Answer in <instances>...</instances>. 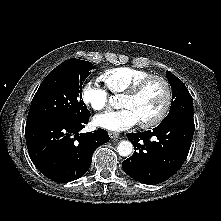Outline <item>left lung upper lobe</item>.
I'll use <instances>...</instances> for the list:
<instances>
[{"instance_id":"left-lung-upper-lobe-1","label":"left lung upper lobe","mask_w":221,"mask_h":221,"mask_svg":"<svg viewBox=\"0 0 221 221\" xmlns=\"http://www.w3.org/2000/svg\"><path fill=\"white\" fill-rule=\"evenodd\" d=\"M166 77L172 88V103L170 112L162 122L172 119H193V99L184 83L170 71Z\"/></svg>"}]
</instances>
